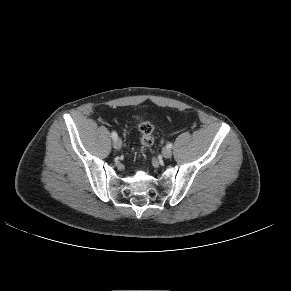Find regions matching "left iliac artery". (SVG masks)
<instances>
[{"mask_svg": "<svg viewBox=\"0 0 291 291\" xmlns=\"http://www.w3.org/2000/svg\"><path fill=\"white\" fill-rule=\"evenodd\" d=\"M172 146H173V145H172L171 143H168V144H167V147H168V148H172Z\"/></svg>", "mask_w": 291, "mask_h": 291, "instance_id": "1", "label": "left iliac artery"}]
</instances>
